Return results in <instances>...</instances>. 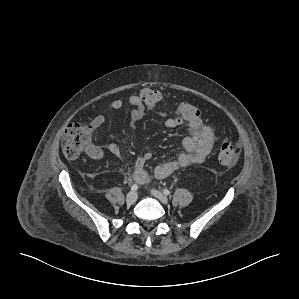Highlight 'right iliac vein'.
<instances>
[{
    "instance_id": "63e3f726",
    "label": "right iliac vein",
    "mask_w": 299,
    "mask_h": 299,
    "mask_svg": "<svg viewBox=\"0 0 299 299\" xmlns=\"http://www.w3.org/2000/svg\"><path fill=\"white\" fill-rule=\"evenodd\" d=\"M137 193L135 191H130L126 196V203L127 204H134L137 200Z\"/></svg>"
}]
</instances>
